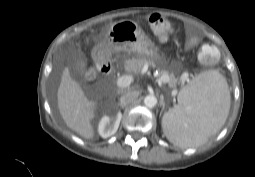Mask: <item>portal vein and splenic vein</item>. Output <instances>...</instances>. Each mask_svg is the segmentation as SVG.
<instances>
[{
	"label": "portal vein and splenic vein",
	"instance_id": "portal-vein-and-splenic-vein-1",
	"mask_svg": "<svg viewBox=\"0 0 255 177\" xmlns=\"http://www.w3.org/2000/svg\"><path fill=\"white\" fill-rule=\"evenodd\" d=\"M133 81V76L123 75L117 80V86L120 88L128 87Z\"/></svg>",
	"mask_w": 255,
	"mask_h": 177
}]
</instances>
